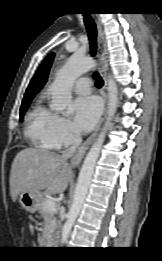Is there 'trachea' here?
<instances>
[{
    "label": "trachea",
    "mask_w": 162,
    "mask_h": 261,
    "mask_svg": "<svg viewBox=\"0 0 162 261\" xmlns=\"http://www.w3.org/2000/svg\"><path fill=\"white\" fill-rule=\"evenodd\" d=\"M84 16V23L87 29V33H88V37H89V43H90V49H91V53L92 55L96 54V50H97V29H96V25L94 23V20L92 19V17L86 13H83ZM95 82H96V86L98 88H101L103 86V80L100 77V75L95 72Z\"/></svg>",
    "instance_id": "3493384b"
}]
</instances>
